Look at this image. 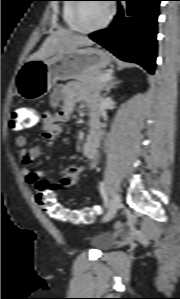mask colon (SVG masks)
Returning a JSON list of instances; mask_svg holds the SVG:
<instances>
[{
  "label": "colon",
  "mask_w": 180,
  "mask_h": 299,
  "mask_svg": "<svg viewBox=\"0 0 180 299\" xmlns=\"http://www.w3.org/2000/svg\"><path fill=\"white\" fill-rule=\"evenodd\" d=\"M39 121L40 115L36 110L21 107L13 111L11 126L14 130H24L36 126ZM34 188L38 204L57 220L75 224H89L94 221L96 215L100 212L98 206L78 210L62 207L56 200L52 186L48 183L40 182Z\"/></svg>",
  "instance_id": "5ec220e1"
}]
</instances>
